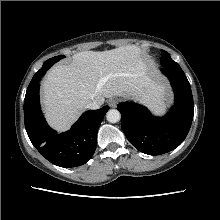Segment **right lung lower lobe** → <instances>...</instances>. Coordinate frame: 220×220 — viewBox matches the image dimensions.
Returning a JSON list of instances; mask_svg holds the SVG:
<instances>
[{
    "label": "right lung lower lobe",
    "instance_id": "obj_1",
    "mask_svg": "<svg viewBox=\"0 0 220 220\" xmlns=\"http://www.w3.org/2000/svg\"><path fill=\"white\" fill-rule=\"evenodd\" d=\"M47 60L34 75L24 100V121L34 147L51 163L60 167H76L88 162L96 149L98 128L109 110L104 106L85 112L72 128L60 134L46 123L39 103V81L55 63Z\"/></svg>",
    "mask_w": 220,
    "mask_h": 220
}]
</instances>
